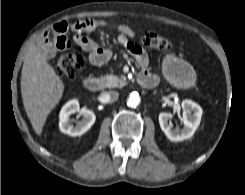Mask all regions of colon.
<instances>
[{
	"label": "colon",
	"mask_w": 245,
	"mask_h": 195,
	"mask_svg": "<svg viewBox=\"0 0 245 195\" xmlns=\"http://www.w3.org/2000/svg\"><path fill=\"white\" fill-rule=\"evenodd\" d=\"M143 44L151 50L169 51L171 43L162 35L146 31L142 36ZM85 65L84 58L77 52H68L53 61L55 72L62 77L75 79Z\"/></svg>",
	"instance_id": "obj_1"
}]
</instances>
